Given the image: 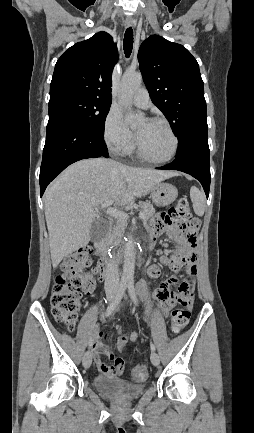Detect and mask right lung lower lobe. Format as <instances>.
<instances>
[{"label":"right lung lower lobe","instance_id":"1","mask_svg":"<svg viewBox=\"0 0 254 433\" xmlns=\"http://www.w3.org/2000/svg\"><path fill=\"white\" fill-rule=\"evenodd\" d=\"M100 156L108 158L104 134L63 115L49 116L39 177L41 196L47 185L67 166Z\"/></svg>","mask_w":254,"mask_h":433}]
</instances>
